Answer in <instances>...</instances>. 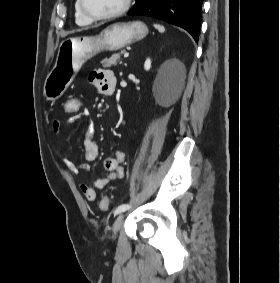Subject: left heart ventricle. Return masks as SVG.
Here are the masks:
<instances>
[{"instance_id":"obj_1","label":"left heart ventricle","mask_w":280,"mask_h":283,"mask_svg":"<svg viewBox=\"0 0 280 283\" xmlns=\"http://www.w3.org/2000/svg\"><path fill=\"white\" fill-rule=\"evenodd\" d=\"M125 0H85L86 8L96 15L112 13L123 5Z\"/></svg>"}]
</instances>
